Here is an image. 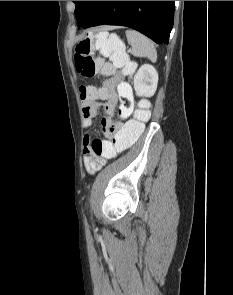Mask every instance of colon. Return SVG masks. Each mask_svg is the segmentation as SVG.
Returning <instances> with one entry per match:
<instances>
[{"mask_svg": "<svg viewBox=\"0 0 233 295\" xmlns=\"http://www.w3.org/2000/svg\"><path fill=\"white\" fill-rule=\"evenodd\" d=\"M94 50H98L108 61L96 59L93 55ZM74 60L77 72L87 78L99 73L108 75L117 68H122L124 73L130 74L135 68L126 56L120 40L115 35L105 32L89 34L80 40L75 46ZM79 90L81 99H85L98 96L102 92V87L83 85ZM150 116L149 104L146 100H142L133 119L126 122L122 128L109 127L107 129L106 136L109 140L91 138L92 152L108 159L116 157L141 137Z\"/></svg>", "mask_w": 233, "mask_h": 295, "instance_id": "1", "label": "colon"}]
</instances>
